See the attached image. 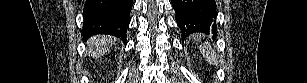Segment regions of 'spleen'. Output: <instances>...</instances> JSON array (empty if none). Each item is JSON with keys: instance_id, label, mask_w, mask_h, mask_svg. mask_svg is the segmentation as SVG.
I'll return each mask as SVG.
<instances>
[{"instance_id": "3e777b00", "label": "spleen", "mask_w": 307, "mask_h": 83, "mask_svg": "<svg viewBox=\"0 0 307 83\" xmlns=\"http://www.w3.org/2000/svg\"><path fill=\"white\" fill-rule=\"evenodd\" d=\"M200 52L203 55V57L207 60L209 64L218 65L219 57L216 54L215 49L210 44L204 43L201 44L200 47Z\"/></svg>"}]
</instances>
